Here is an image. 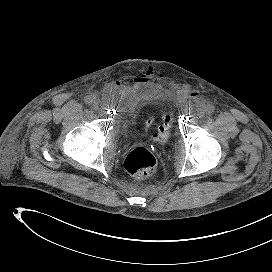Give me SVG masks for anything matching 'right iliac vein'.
<instances>
[{"instance_id":"right-iliac-vein-1","label":"right iliac vein","mask_w":272,"mask_h":272,"mask_svg":"<svg viewBox=\"0 0 272 272\" xmlns=\"http://www.w3.org/2000/svg\"><path fill=\"white\" fill-rule=\"evenodd\" d=\"M92 105H93L94 108H98V106H99V100L96 99V98H93L92 99Z\"/></svg>"}]
</instances>
